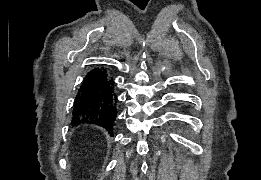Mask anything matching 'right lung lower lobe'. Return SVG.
<instances>
[{
  "label": "right lung lower lobe",
  "mask_w": 261,
  "mask_h": 180,
  "mask_svg": "<svg viewBox=\"0 0 261 180\" xmlns=\"http://www.w3.org/2000/svg\"><path fill=\"white\" fill-rule=\"evenodd\" d=\"M117 102L113 78L106 69H93L85 76L75 97L72 124H95L112 135Z\"/></svg>",
  "instance_id": "98d812e1"
}]
</instances>
